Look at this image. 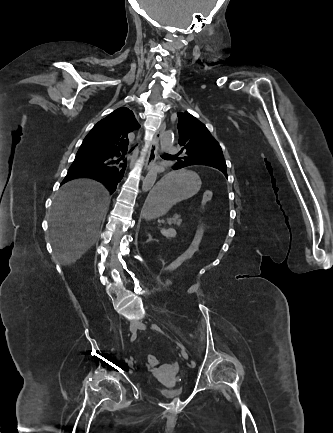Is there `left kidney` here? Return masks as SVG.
Masks as SVG:
<instances>
[{
	"instance_id": "5707ae66",
	"label": "left kidney",
	"mask_w": 333,
	"mask_h": 433,
	"mask_svg": "<svg viewBox=\"0 0 333 433\" xmlns=\"http://www.w3.org/2000/svg\"><path fill=\"white\" fill-rule=\"evenodd\" d=\"M171 231L175 232V234H176V231L174 229H171Z\"/></svg>"
}]
</instances>
